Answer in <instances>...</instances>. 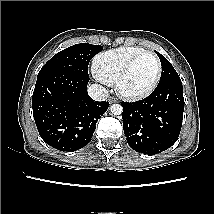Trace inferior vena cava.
Here are the masks:
<instances>
[{
	"label": "inferior vena cava",
	"instance_id": "1",
	"mask_svg": "<svg viewBox=\"0 0 214 214\" xmlns=\"http://www.w3.org/2000/svg\"><path fill=\"white\" fill-rule=\"evenodd\" d=\"M89 96L96 101H104L108 98V91L101 85L92 84L88 87Z\"/></svg>",
	"mask_w": 214,
	"mask_h": 214
}]
</instances>
